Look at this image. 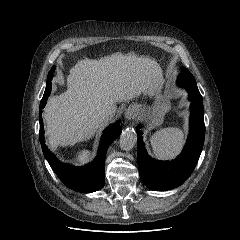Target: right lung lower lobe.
<instances>
[{"label": "right lung lower lobe", "instance_id": "1", "mask_svg": "<svg viewBox=\"0 0 240 240\" xmlns=\"http://www.w3.org/2000/svg\"><path fill=\"white\" fill-rule=\"evenodd\" d=\"M47 100L40 103V131L39 139L45 158L58 178L70 189L78 192L88 193L98 191L105 185L104 165L106 152L109 145L121 134L119 122L110 125L103 133L98 148L97 157L88 165L75 167L70 164H63L45 144L44 126L42 120V109Z\"/></svg>", "mask_w": 240, "mask_h": 240}]
</instances>
